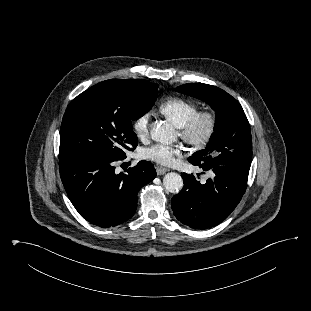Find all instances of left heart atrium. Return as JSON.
<instances>
[{"instance_id":"left-heart-atrium-1","label":"left heart atrium","mask_w":311,"mask_h":311,"mask_svg":"<svg viewBox=\"0 0 311 311\" xmlns=\"http://www.w3.org/2000/svg\"><path fill=\"white\" fill-rule=\"evenodd\" d=\"M180 155L181 149L179 147L167 146L160 143L147 147L142 151V156L145 159L155 161L163 165L173 164L176 157Z\"/></svg>"}]
</instances>
